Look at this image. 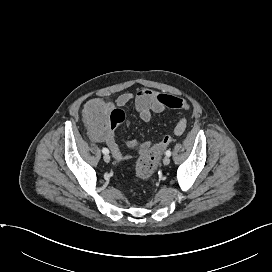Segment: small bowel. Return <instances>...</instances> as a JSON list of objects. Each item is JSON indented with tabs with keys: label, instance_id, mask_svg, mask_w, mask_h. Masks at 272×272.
Segmentation results:
<instances>
[{
	"label": "small bowel",
	"instance_id": "obj_1",
	"mask_svg": "<svg viewBox=\"0 0 272 272\" xmlns=\"http://www.w3.org/2000/svg\"><path fill=\"white\" fill-rule=\"evenodd\" d=\"M128 103L134 104L138 115L145 122L150 121L154 113H161L166 109L182 110L185 112L189 110V104L184 99L144 87L137 89L135 93L121 94L116 99L118 107H123ZM186 126L187 119L184 116L177 122L174 134L180 136L185 131ZM93 139L106 143L116 160L123 161L130 158V156L120 151L113 130L109 129L101 136H93ZM128 145L131 149L143 153L149 148L150 142L133 139L128 142Z\"/></svg>",
	"mask_w": 272,
	"mask_h": 272
}]
</instances>
